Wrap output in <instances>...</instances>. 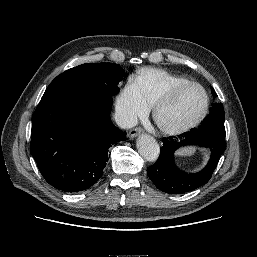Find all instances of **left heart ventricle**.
<instances>
[{"instance_id":"1","label":"left heart ventricle","mask_w":257,"mask_h":257,"mask_svg":"<svg viewBox=\"0 0 257 257\" xmlns=\"http://www.w3.org/2000/svg\"><path fill=\"white\" fill-rule=\"evenodd\" d=\"M203 105L202 90L190 87L181 91L170 104L162 108L160 118L167 125H181L194 119Z\"/></svg>"}]
</instances>
